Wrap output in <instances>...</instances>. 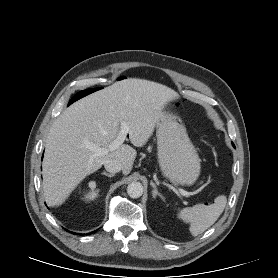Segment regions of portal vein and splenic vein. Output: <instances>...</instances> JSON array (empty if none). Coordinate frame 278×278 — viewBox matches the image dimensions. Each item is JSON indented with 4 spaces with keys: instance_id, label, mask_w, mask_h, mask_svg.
<instances>
[{
    "instance_id": "18ae733b",
    "label": "portal vein and splenic vein",
    "mask_w": 278,
    "mask_h": 278,
    "mask_svg": "<svg viewBox=\"0 0 278 278\" xmlns=\"http://www.w3.org/2000/svg\"><path fill=\"white\" fill-rule=\"evenodd\" d=\"M129 132V127L127 126L126 123L122 122L121 123V130L119 132V135L117 136V138L112 141L109 145L108 148H99V147H94V146H90L88 145L89 148H91L94 153L95 156H102V155H106L108 154L110 151H114L116 150L120 145H122V143L124 142L127 134ZM178 191L180 192L181 195L189 197L192 195V193L185 191L182 188H178Z\"/></svg>"
}]
</instances>
